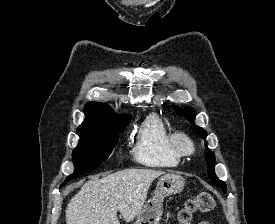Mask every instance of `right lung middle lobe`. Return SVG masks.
<instances>
[{"instance_id": "obj_1", "label": "right lung middle lobe", "mask_w": 275, "mask_h": 224, "mask_svg": "<svg viewBox=\"0 0 275 224\" xmlns=\"http://www.w3.org/2000/svg\"><path fill=\"white\" fill-rule=\"evenodd\" d=\"M129 122L100 127L78 128L80 141L72 153L75 170L60 187L69 180L94 170L101 162L108 159L116 145L119 133L125 129Z\"/></svg>"}]
</instances>
